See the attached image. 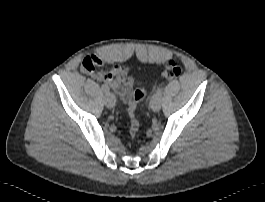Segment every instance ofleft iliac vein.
I'll return each instance as SVG.
<instances>
[{
  "mask_svg": "<svg viewBox=\"0 0 265 202\" xmlns=\"http://www.w3.org/2000/svg\"><path fill=\"white\" fill-rule=\"evenodd\" d=\"M150 107L154 112H158L161 109V98L155 95L150 102Z\"/></svg>",
  "mask_w": 265,
  "mask_h": 202,
  "instance_id": "4c4485c4",
  "label": "left iliac vein"
}]
</instances>
